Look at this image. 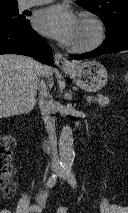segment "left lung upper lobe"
I'll list each match as a JSON object with an SVG mask.
<instances>
[{"label": "left lung upper lobe", "mask_w": 128, "mask_h": 213, "mask_svg": "<svg viewBox=\"0 0 128 213\" xmlns=\"http://www.w3.org/2000/svg\"><path fill=\"white\" fill-rule=\"evenodd\" d=\"M77 4L99 15L108 32L128 24V0H77Z\"/></svg>", "instance_id": "obj_1"}]
</instances>
